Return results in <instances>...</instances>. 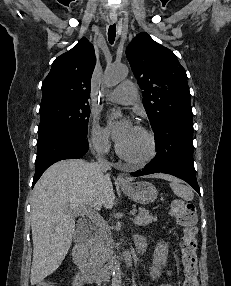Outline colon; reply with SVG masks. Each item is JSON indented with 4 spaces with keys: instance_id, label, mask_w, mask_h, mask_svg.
Here are the masks:
<instances>
[{
    "instance_id": "1",
    "label": "colon",
    "mask_w": 231,
    "mask_h": 286,
    "mask_svg": "<svg viewBox=\"0 0 231 286\" xmlns=\"http://www.w3.org/2000/svg\"><path fill=\"white\" fill-rule=\"evenodd\" d=\"M171 214L183 228L180 240L182 263L184 267L183 286H199L197 267V212L192 203L176 200L171 207ZM37 286H55L52 282L41 281Z\"/></svg>"
}]
</instances>
